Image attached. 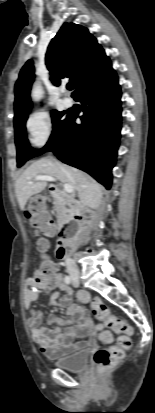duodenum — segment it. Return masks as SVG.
<instances>
[{"mask_svg":"<svg viewBox=\"0 0 155 413\" xmlns=\"http://www.w3.org/2000/svg\"><path fill=\"white\" fill-rule=\"evenodd\" d=\"M50 193L60 199L69 207V218L64 222L59 231V239L56 244V256L57 258L64 260L70 252L72 236L74 233V225H81L84 216L82 211L75 207L71 199L67 198L64 193L57 187H51Z\"/></svg>","mask_w":155,"mask_h":413,"instance_id":"obj_1","label":"duodenum"}]
</instances>
